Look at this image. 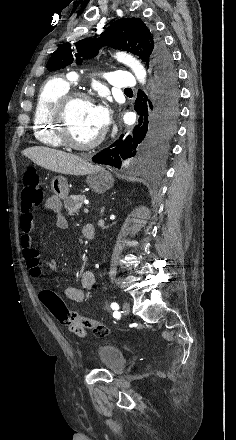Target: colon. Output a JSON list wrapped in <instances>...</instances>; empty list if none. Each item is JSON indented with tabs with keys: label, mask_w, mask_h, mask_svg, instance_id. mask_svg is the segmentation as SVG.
I'll use <instances>...</instances> for the list:
<instances>
[{
	"label": "colon",
	"mask_w": 236,
	"mask_h": 440,
	"mask_svg": "<svg viewBox=\"0 0 236 440\" xmlns=\"http://www.w3.org/2000/svg\"><path fill=\"white\" fill-rule=\"evenodd\" d=\"M43 198L44 193L38 173L32 169L26 170L23 174V189L21 192L22 211L30 213L42 204ZM40 297L52 316L61 324L67 327H71L72 324H84L86 328L84 335L88 329H93L101 337L108 334V328L105 325L70 311L65 302L52 290H42Z\"/></svg>",
	"instance_id": "5ec220e1"
}]
</instances>
